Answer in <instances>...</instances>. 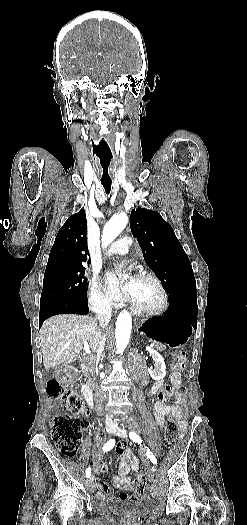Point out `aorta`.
<instances>
[{
	"instance_id": "aorta-1",
	"label": "aorta",
	"mask_w": 247,
	"mask_h": 525,
	"mask_svg": "<svg viewBox=\"0 0 247 525\" xmlns=\"http://www.w3.org/2000/svg\"><path fill=\"white\" fill-rule=\"evenodd\" d=\"M128 223V216L125 213H120L113 216L105 225L102 233V244L107 247L126 227ZM132 329V318L129 312L122 311L116 321V352L122 354L126 349Z\"/></svg>"
}]
</instances>
